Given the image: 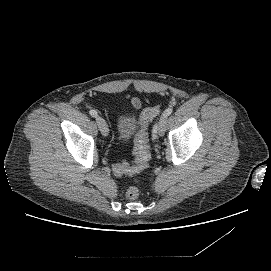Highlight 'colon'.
I'll list each match as a JSON object with an SVG mask.
<instances>
[{
    "label": "colon",
    "instance_id": "5ec220e1",
    "mask_svg": "<svg viewBox=\"0 0 271 271\" xmlns=\"http://www.w3.org/2000/svg\"><path fill=\"white\" fill-rule=\"evenodd\" d=\"M160 107L153 106L143 110L140 115L139 127L136 133L134 154L135 162L130 164L128 162H120L114 165L115 174L130 175L145 169L150 160V152L148 147V124L159 114ZM139 188L136 185L130 186L126 190V198L135 200L139 197Z\"/></svg>",
    "mask_w": 271,
    "mask_h": 271
}]
</instances>
